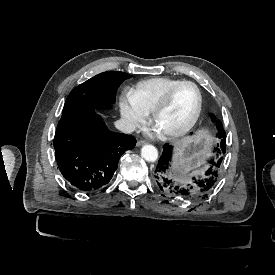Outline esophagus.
I'll return each instance as SVG.
<instances>
[{
  "instance_id": "obj_1",
  "label": "esophagus",
  "mask_w": 275,
  "mask_h": 275,
  "mask_svg": "<svg viewBox=\"0 0 275 275\" xmlns=\"http://www.w3.org/2000/svg\"><path fill=\"white\" fill-rule=\"evenodd\" d=\"M147 144V142L145 140H139L137 143H136V146H142V145H145Z\"/></svg>"
}]
</instances>
